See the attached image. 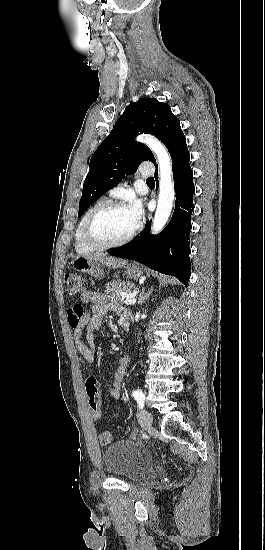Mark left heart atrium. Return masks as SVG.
<instances>
[{"instance_id": "left-heart-atrium-1", "label": "left heart atrium", "mask_w": 265, "mask_h": 550, "mask_svg": "<svg viewBox=\"0 0 265 550\" xmlns=\"http://www.w3.org/2000/svg\"><path fill=\"white\" fill-rule=\"evenodd\" d=\"M127 208L130 211L136 225L139 224L143 214L140 202L137 200H133Z\"/></svg>"}]
</instances>
